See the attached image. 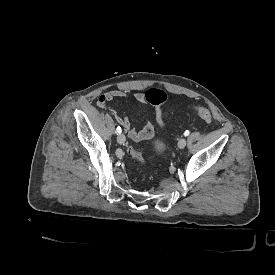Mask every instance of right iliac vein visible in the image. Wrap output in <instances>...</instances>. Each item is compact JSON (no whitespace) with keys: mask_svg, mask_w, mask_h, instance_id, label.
Listing matches in <instances>:
<instances>
[{"mask_svg":"<svg viewBox=\"0 0 275 275\" xmlns=\"http://www.w3.org/2000/svg\"><path fill=\"white\" fill-rule=\"evenodd\" d=\"M125 141H126V138H125L124 134H121V133L118 134V136H117V142H118L119 144H124Z\"/></svg>","mask_w":275,"mask_h":275,"instance_id":"obj_1","label":"right iliac vein"}]
</instances>
